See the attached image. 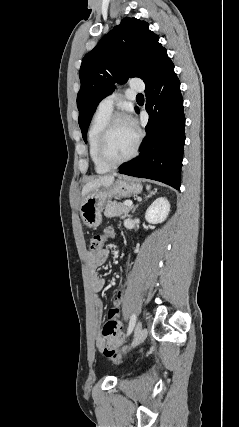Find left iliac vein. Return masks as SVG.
Masks as SVG:
<instances>
[{"instance_id": "1", "label": "left iliac vein", "mask_w": 239, "mask_h": 427, "mask_svg": "<svg viewBox=\"0 0 239 427\" xmlns=\"http://www.w3.org/2000/svg\"><path fill=\"white\" fill-rule=\"evenodd\" d=\"M147 337V329L142 327L141 322H138L135 328L134 339L131 343V348L136 347L142 343Z\"/></svg>"}]
</instances>
